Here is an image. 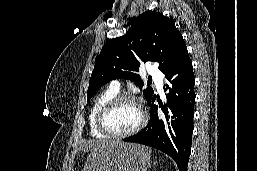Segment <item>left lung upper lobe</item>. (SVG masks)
Instances as JSON below:
<instances>
[{"instance_id":"obj_1","label":"left lung upper lobe","mask_w":257,"mask_h":171,"mask_svg":"<svg viewBox=\"0 0 257 171\" xmlns=\"http://www.w3.org/2000/svg\"><path fill=\"white\" fill-rule=\"evenodd\" d=\"M185 46L172 20L155 11L141 14L124 36L111 39L102 47L95 59L87 100L113 79H131L142 88L140 76L131 71H138L140 64L146 62H158L161 69L174 52ZM143 94L148 101L153 89L147 87Z\"/></svg>"}]
</instances>
